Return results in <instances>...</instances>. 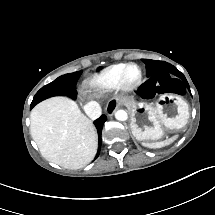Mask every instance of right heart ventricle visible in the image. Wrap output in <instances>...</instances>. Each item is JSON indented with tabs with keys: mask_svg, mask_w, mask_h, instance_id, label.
Listing matches in <instances>:
<instances>
[{
	"mask_svg": "<svg viewBox=\"0 0 215 215\" xmlns=\"http://www.w3.org/2000/svg\"><path fill=\"white\" fill-rule=\"evenodd\" d=\"M122 65L123 64L120 63L104 68L93 76L91 82L104 88L111 87L115 77L123 70Z\"/></svg>",
	"mask_w": 215,
	"mask_h": 215,
	"instance_id": "right-heart-ventricle-1",
	"label": "right heart ventricle"
}]
</instances>
